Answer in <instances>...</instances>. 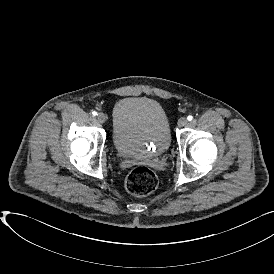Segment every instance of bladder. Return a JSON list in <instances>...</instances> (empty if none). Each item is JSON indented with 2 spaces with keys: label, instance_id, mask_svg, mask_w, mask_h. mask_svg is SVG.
Masks as SVG:
<instances>
[{
  "label": "bladder",
  "instance_id": "obj_1",
  "mask_svg": "<svg viewBox=\"0 0 274 274\" xmlns=\"http://www.w3.org/2000/svg\"><path fill=\"white\" fill-rule=\"evenodd\" d=\"M112 141L119 155L141 159L168 150L171 129L163 106L148 97H125L112 111Z\"/></svg>",
  "mask_w": 274,
  "mask_h": 274
}]
</instances>
